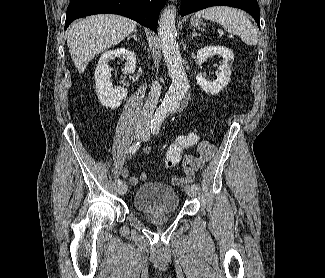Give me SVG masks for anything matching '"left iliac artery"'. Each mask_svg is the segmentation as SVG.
I'll return each mask as SVG.
<instances>
[{"mask_svg":"<svg viewBox=\"0 0 325 278\" xmlns=\"http://www.w3.org/2000/svg\"><path fill=\"white\" fill-rule=\"evenodd\" d=\"M159 129H160V125L155 124L152 126L151 132L153 133V135H157L159 133ZM191 187L196 190L198 189V185H196V184L191 185Z\"/></svg>","mask_w":325,"mask_h":278,"instance_id":"1","label":"left iliac artery"}]
</instances>
